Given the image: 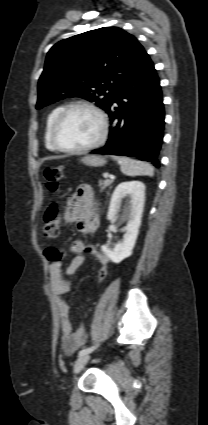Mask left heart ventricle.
I'll return each instance as SVG.
<instances>
[{"mask_svg": "<svg viewBox=\"0 0 208 425\" xmlns=\"http://www.w3.org/2000/svg\"><path fill=\"white\" fill-rule=\"evenodd\" d=\"M100 132L97 116L85 109L69 112L57 130V140L65 148H80L94 142Z\"/></svg>", "mask_w": 208, "mask_h": 425, "instance_id": "obj_1", "label": "left heart ventricle"}]
</instances>
